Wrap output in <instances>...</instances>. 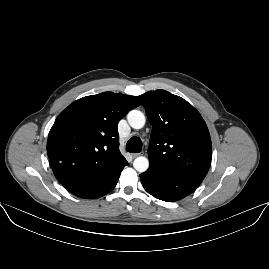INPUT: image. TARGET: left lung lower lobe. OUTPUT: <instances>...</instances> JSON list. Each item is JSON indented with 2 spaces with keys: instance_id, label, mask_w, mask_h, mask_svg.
I'll return each instance as SVG.
<instances>
[{
  "instance_id": "obj_1",
  "label": "left lung lower lobe",
  "mask_w": 269,
  "mask_h": 269,
  "mask_svg": "<svg viewBox=\"0 0 269 269\" xmlns=\"http://www.w3.org/2000/svg\"><path fill=\"white\" fill-rule=\"evenodd\" d=\"M145 190L167 202L180 200L191 194L202 182L201 179L174 174L154 168H149L140 175Z\"/></svg>"
}]
</instances>
